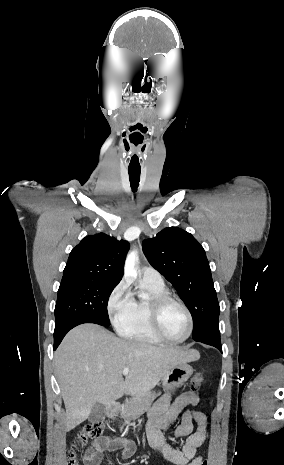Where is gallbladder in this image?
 <instances>
[{"label": "gallbladder", "instance_id": "obj_1", "mask_svg": "<svg viewBox=\"0 0 284 465\" xmlns=\"http://www.w3.org/2000/svg\"><path fill=\"white\" fill-rule=\"evenodd\" d=\"M105 415H106L105 405H102V403H96V405H94L89 415L88 421H90V423H101Z\"/></svg>", "mask_w": 284, "mask_h": 465}]
</instances>
